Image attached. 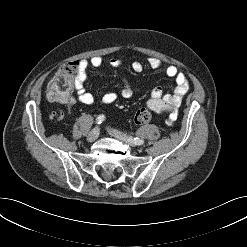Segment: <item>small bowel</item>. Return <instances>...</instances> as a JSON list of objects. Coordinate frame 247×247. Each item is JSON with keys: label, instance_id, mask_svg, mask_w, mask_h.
Segmentation results:
<instances>
[{"label": "small bowel", "instance_id": "small-bowel-1", "mask_svg": "<svg viewBox=\"0 0 247 247\" xmlns=\"http://www.w3.org/2000/svg\"><path fill=\"white\" fill-rule=\"evenodd\" d=\"M78 64V83L76 86V97L77 99L84 103L91 105L95 102L94 95L86 90L85 83L87 81L88 70L97 69L102 66L103 60L99 56H94L90 59H81L77 62ZM121 60L118 58H112L110 60V65L114 68L120 66ZM148 65L151 69L157 70L163 67L162 62L155 58L150 57L148 59ZM132 69L136 73H140L144 69V65L141 62H134L132 64ZM165 74L173 78L176 82V87L171 93H164L161 88H153L150 91V98L147 101V107L157 113H166L168 118V123H172L178 113V108L182 102L184 95L189 89V81L185 73L176 65L169 64L164 67ZM135 93V90L129 85H125L121 90V96L124 98H131ZM118 98V94L115 92H108L103 95L101 102L103 104H112ZM76 99L70 98L65 101L64 104L67 107L68 115H71L72 107L75 104Z\"/></svg>", "mask_w": 247, "mask_h": 247}]
</instances>
